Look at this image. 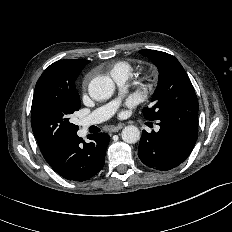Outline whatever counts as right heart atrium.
<instances>
[{
    "mask_svg": "<svg viewBox=\"0 0 232 232\" xmlns=\"http://www.w3.org/2000/svg\"><path fill=\"white\" fill-rule=\"evenodd\" d=\"M87 83V79L84 81V84H86Z\"/></svg>",
    "mask_w": 232,
    "mask_h": 232,
    "instance_id": "obj_1",
    "label": "right heart atrium"
}]
</instances>
